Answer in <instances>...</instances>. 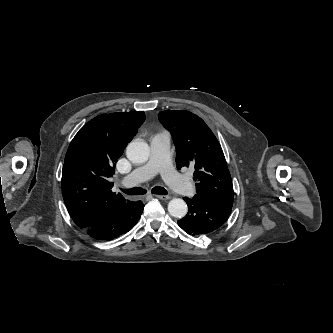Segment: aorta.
Here are the masks:
<instances>
[{"label": "aorta", "mask_w": 333, "mask_h": 333, "mask_svg": "<svg viewBox=\"0 0 333 333\" xmlns=\"http://www.w3.org/2000/svg\"><path fill=\"white\" fill-rule=\"evenodd\" d=\"M150 154L149 146L146 142L134 140L126 148L127 158L133 163H144L148 160ZM188 211L187 204L184 200L174 198L168 203V212L171 216L181 218Z\"/></svg>", "instance_id": "aorta-1"}]
</instances>
